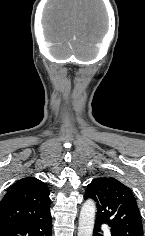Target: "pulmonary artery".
<instances>
[{"label": "pulmonary artery", "instance_id": "1", "mask_svg": "<svg viewBox=\"0 0 145 236\" xmlns=\"http://www.w3.org/2000/svg\"><path fill=\"white\" fill-rule=\"evenodd\" d=\"M106 236H110V230L108 228L105 229Z\"/></svg>", "mask_w": 145, "mask_h": 236}]
</instances>
